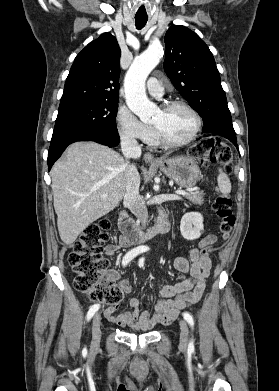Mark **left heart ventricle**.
<instances>
[{"mask_svg":"<svg viewBox=\"0 0 279 391\" xmlns=\"http://www.w3.org/2000/svg\"><path fill=\"white\" fill-rule=\"evenodd\" d=\"M151 124L159 127L169 140L182 141L194 130L195 119L187 109L174 107L168 111L160 109Z\"/></svg>","mask_w":279,"mask_h":391,"instance_id":"b2bd125f","label":"left heart ventricle"}]
</instances>
